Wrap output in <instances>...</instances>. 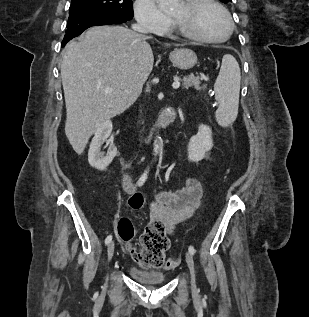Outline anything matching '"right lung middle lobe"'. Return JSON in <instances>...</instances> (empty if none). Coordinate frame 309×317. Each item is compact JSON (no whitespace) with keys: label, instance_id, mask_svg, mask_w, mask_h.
Here are the masks:
<instances>
[{"label":"right lung middle lobe","instance_id":"dd1d6c3e","mask_svg":"<svg viewBox=\"0 0 309 317\" xmlns=\"http://www.w3.org/2000/svg\"><path fill=\"white\" fill-rule=\"evenodd\" d=\"M132 4V0H72L69 14L100 13L131 20Z\"/></svg>","mask_w":309,"mask_h":317}]
</instances>
